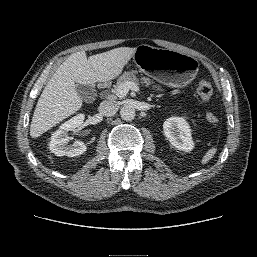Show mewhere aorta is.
Returning a JSON list of instances; mask_svg holds the SVG:
<instances>
[{
    "label": "aorta",
    "instance_id": "762f6f07",
    "mask_svg": "<svg viewBox=\"0 0 257 257\" xmlns=\"http://www.w3.org/2000/svg\"><path fill=\"white\" fill-rule=\"evenodd\" d=\"M121 118L125 121H132L135 118V108L130 105H125L120 109Z\"/></svg>",
    "mask_w": 257,
    "mask_h": 257
}]
</instances>
